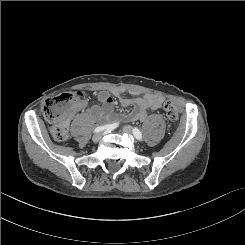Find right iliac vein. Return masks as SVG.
Wrapping results in <instances>:
<instances>
[{
	"instance_id": "63e3f726",
	"label": "right iliac vein",
	"mask_w": 245,
	"mask_h": 245,
	"mask_svg": "<svg viewBox=\"0 0 245 245\" xmlns=\"http://www.w3.org/2000/svg\"><path fill=\"white\" fill-rule=\"evenodd\" d=\"M102 138V134L101 133H96L93 137L92 140L93 142H99Z\"/></svg>"
}]
</instances>
